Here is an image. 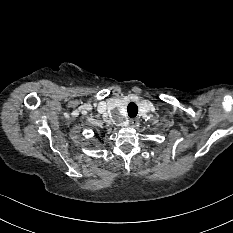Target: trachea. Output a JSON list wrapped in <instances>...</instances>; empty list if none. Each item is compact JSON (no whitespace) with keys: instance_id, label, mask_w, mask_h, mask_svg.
<instances>
[{"instance_id":"trachea-1","label":"trachea","mask_w":233,"mask_h":233,"mask_svg":"<svg viewBox=\"0 0 233 233\" xmlns=\"http://www.w3.org/2000/svg\"><path fill=\"white\" fill-rule=\"evenodd\" d=\"M128 115L129 117H135L138 113V107L135 103L131 102L129 103L127 107Z\"/></svg>"}]
</instances>
